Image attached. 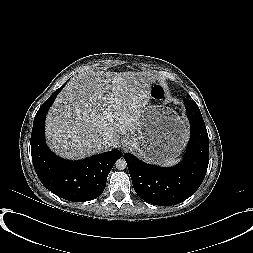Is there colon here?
Wrapping results in <instances>:
<instances>
[{
  "label": "colon",
  "mask_w": 253,
  "mask_h": 253,
  "mask_svg": "<svg viewBox=\"0 0 253 253\" xmlns=\"http://www.w3.org/2000/svg\"><path fill=\"white\" fill-rule=\"evenodd\" d=\"M148 94L151 99L155 101H160L165 98L167 94V89L164 84L160 82H155L150 85L148 89Z\"/></svg>",
  "instance_id": "5ec220e1"
}]
</instances>
